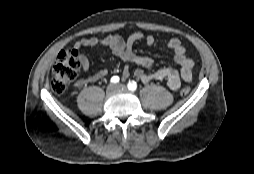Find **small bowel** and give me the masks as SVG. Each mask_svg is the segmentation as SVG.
<instances>
[{"instance_id": "1", "label": "small bowel", "mask_w": 254, "mask_h": 174, "mask_svg": "<svg viewBox=\"0 0 254 174\" xmlns=\"http://www.w3.org/2000/svg\"><path fill=\"white\" fill-rule=\"evenodd\" d=\"M140 40H144L148 46L155 43V38L152 35L145 36L142 32L137 31L130 34L126 39L119 35L83 38L77 41L74 47L77 50L83 47H105L125 62L150 68L154 63L153 59L138 55L133 50L134 44ZM167 48L173 52V61L180 66L179 70L171 67H164L150 72L136 69L133 71V75L144 83L164 80L172 90H178L181 86V81L190 83L193 79L194 62L187 56L185 47L179 39L173 38L167 42ZM78 60L82 70L88 71L90 66L88 57L83 53H78ZM129 73L130 69L127 67L124 70L123 76L126 77ZM107 74L108 70L106 68L101 69L88 78L77 80L74 86L76 88H82L90 82L104 78Z\"/></svg>"}]
</instances>
